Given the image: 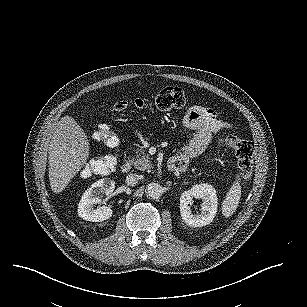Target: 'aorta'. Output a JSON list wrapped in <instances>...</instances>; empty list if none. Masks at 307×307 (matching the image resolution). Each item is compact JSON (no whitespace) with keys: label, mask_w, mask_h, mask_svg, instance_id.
Wrapping results in <instances>:
<instances>
[{"label":"aorta","mask_w":307,"mask_h":307,"mask_svg":"<svg viewBox=\"0 0 307 307\" xmlns=\"http://www.w3.org/2000/svg\"><path fill=\"white\" fill-rule=\"evenodd\" d=\"M163 194V187L156 182H151L146 186V196L151 199H159Z\"/></svg>","instance_id":"aorta-1"}]
</instances>
